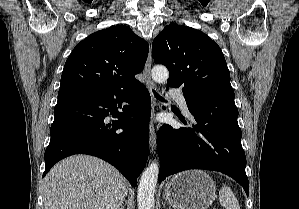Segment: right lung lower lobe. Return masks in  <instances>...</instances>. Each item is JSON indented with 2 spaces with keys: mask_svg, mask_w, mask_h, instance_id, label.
<instances>
[{
  "mask_svg": "<svg viewBox=\"0 0 299 209\" xmlns=\"http://www.w3.org/2000/svg\"><path fill=\"white\" fill-rule=\"evenodd\" d=\"M123 102L127 104L122 107ZM150 106V94L143 84L58 95L43 177L59 160L83 153L109 162L135 187L148 158ZM109 115L118 120L108 123L105 118Z\"/></svg>",
  "mask_w": 299,
  "mask_h": 209,
  "instance_id": "98d812e1",
  "label": "right lung lower lobe"
}]
</instances>
